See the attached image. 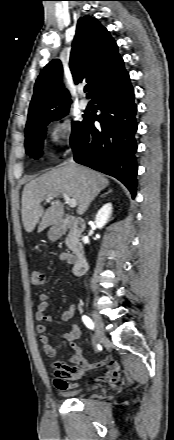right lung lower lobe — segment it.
Here are the masks:
<instances>
[{
  "label": "right lung lower lobe",
  "mask_w": 174,
  "mask_h": 440,
  "mask_svg": "<svg viewBox=\"0 0 174 440\" xmlns=\"http://www.w3.org/2000/svg\"><path fill=\"white\" fill-rule=\"evenodd\" d=\"M101 111L98 116L86 114L71 147L74 160L82 165L111 175L136 194L137 130L134 90L124 62L118 64L90 96ZM100 122V127L94 126Z\"/></svg>",
  "instance_id": "obj_1"
}]
</instances>
